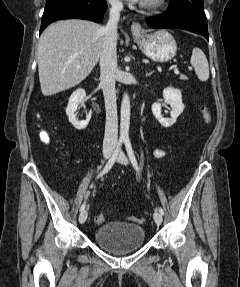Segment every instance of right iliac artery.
<instances>
[{
	"label": "right iliac artery",
	"mask_w": 240,
	"mask_h": 287,
	"mask_svg": "<svg viewBox=\"0 0 240 287\" xmlns=\"http://www.w3.org/2000/svg\"><path fill=\"white\" fill-rule=\"evenodd\" d=\"M121 145H122V140H119L116 146V149L112 155V157L110 158V160L107 162L105 168L103 169L102 172H100L97 176V179H99L100 177H102L105 173H107L113 166V164L115 163V160L120 152L121 149ZM86 206V202H84L81 207H80V211H83L85 209Z\"/></svg>",
	"instance_id": "right-iliac-artery-1"
}]
</instances>
